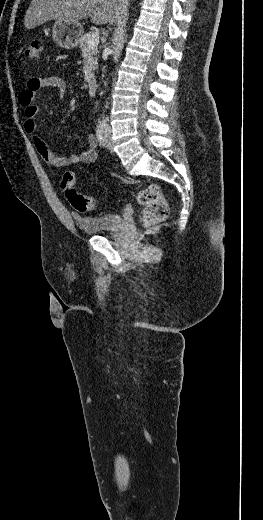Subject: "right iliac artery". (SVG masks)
<instances>
[{
	"label": "right iliac artery",
	"mask_w": 263,
	"mask_h": 520,
	"mask_svg": "<svg viewBox=\"0 0 263 520\" xmlns=\"http://www.w3.org/2000/svg\"><path fill=\"white\" fill-rule=\"evenodd\" d=\"M96 136H97L100 146L104 147L105 146V135H104V128L101 123L97 126Z\"/></svg>",
	"instance_id": "right-iliac-artery-1"
}]
</instances>
